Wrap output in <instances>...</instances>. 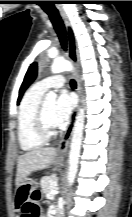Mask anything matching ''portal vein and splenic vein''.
<instances>
[{
  "mask_svg": "<svg viewBox=\"0 0 132 217\" xmlns=\"http://www.w3.org/2000/svg\"><path fill=\"white\" fill-rule=\"evenodd\" d=\"M58 193H59V191H58L57 188L51 190V192H50V194H52V195H56V194H58Z\"/></svg>",
  "mask_w": 132,
  "mask_h": 217,
  "instance_id": "1",
  "label": "portal vein and splenic vein"
}]
</instances>
